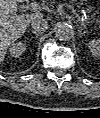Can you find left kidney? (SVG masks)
Listing matches in <instances>:
<instances>
[{"label":"left kidney","instance_id":"left-kidney-1","mask_svg":"<svg viewBox=\"0 0 100 118\" xmlns=\"http://www.w3.org/2000/svg\"><path fill=\"white\" fill-rule=\"evenodd\" d=\"M89 49L92 55L99 56L100 55V40L94 39L90 41Z\"/></svg>","mask_w":100,"mask_h":118}]
</instances>
